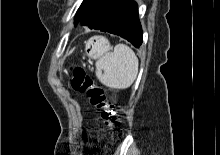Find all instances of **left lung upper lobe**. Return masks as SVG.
<instances>
[{
	"mask_svg": "<svg viewBox=\"0 0 220 155\" xmlns=\"http://www.w3.org/2000/svg\"><path fill=\"white\" fill-rule=\"evenodd\" d=\"M97 0H84L78 9L76 16H75V26L80 21V19L83 17V15L86 13V11L96 2Z\"/></svg>",
	"mask_w": 220,
	"mask_h": 155,
	"instance_id": "left-lung-upper-lobe-1",
	"label": "left lung upper lobe"
}]
</instances>
